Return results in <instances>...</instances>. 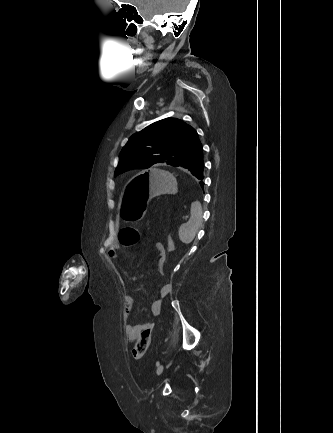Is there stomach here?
Listing matches in <instances>:
<instances>
[{
    "label": "stomach",
    "instance_id": "obj_1",
    "mask_svg": "<svg viewBox=\"0 0 333 433\" xmlns=\"http://www.w3.org/2000/svg\"><path fill=\"white\" fill-rule=\"evenodd\" d=\"M171 169H143L125 187L120 216L127 224L140 223L146 214V206L155 196L177 192L178 185Z\"/></svg>",
    "mask_w": 333,
    "mask_h": 433
}]
</instances>
